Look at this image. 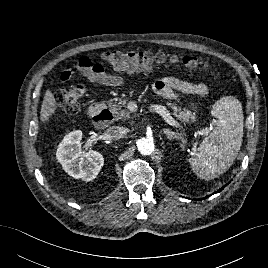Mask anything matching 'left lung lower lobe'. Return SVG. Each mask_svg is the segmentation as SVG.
<instances>
[{
    "label": "left lung lower lobe",
    "mask_w": 268,
    "mask_h": 268,
    "mask_svg": "<svg viewBox=\"0 0 268 268\" xmlns=\"http://www.w3.org/2000/svg\"><path fill=\"white\" fill-rule=\"evenodd\" d=\"M225 187V186H224ZM224 187H222L221 189H219L216 193H218V192H220L221 190H223V188ZM205 198H207V197H205ZM204 199V198H203Z\"/></svg>",
    "instance_id": "1"
}]
</instances>
